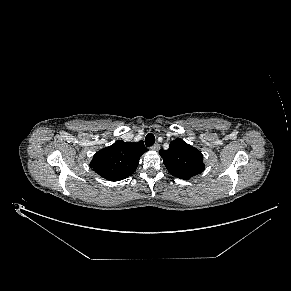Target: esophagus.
<instances>
[{"mask_svg":"<svg viewBox=\"0 0 291 291\" xmlns=\"http://www.w3.org/2000/svg\"><path fill=\"white\" fill-rule=\"evenodd\" d=\"M151 149L154 151H158L160 149V145L158 143H156L151 147Z\"/></svg>","mask_w":291,"mask_h":291,"instance_id":"1","label":"esophagus"}]
</instances>
